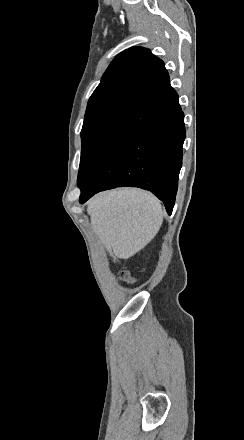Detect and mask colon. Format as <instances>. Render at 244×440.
<instances>
[{"label": "colon", "mask_w": 244, "mask_h": 440, "mask_svg": "<svg viewBox=\"0 0 244 440\" xmlns=\"http://www.w3.org/2000/svg\"><path fill=\"white\" fill-rule=\"evenodd\" d=\"M120 279L122 281H126L128 284H133L135 282L134 278L129 276L128 274H122Z\"/></svg>", "instance_id": "obj_1"}]
</instances>
